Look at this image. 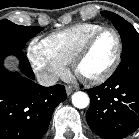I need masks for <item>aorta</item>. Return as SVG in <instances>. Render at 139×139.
I'll return each instance as SVG.
<instances>
[{"mask_svg":"<svg viewBox=\"0 0 139 139\" xmlns=\"http://www.w3.org/2000/svg\"><path fill=\"white\" fill-rule=\"evenodd\" d=\"M90 103L89 96L82 91H77L72 95V104L79 109L86 108Z\"/></svg>","mask_w":139,"mask_h":139,"instance_id":"obj_1","label":"aorta"}]
</instances>
